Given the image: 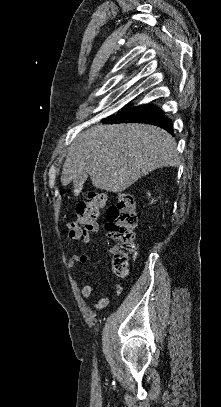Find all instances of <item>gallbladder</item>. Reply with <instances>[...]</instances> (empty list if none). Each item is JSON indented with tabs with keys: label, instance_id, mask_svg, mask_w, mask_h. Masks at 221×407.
Wrapping results in <instances>:
<instances>
[{
	"label": "gallbladder",
	"instance_id": "1",
	"mask_svg": "<svg viewBox=\"0 0 221 407\" xmlns=\"http://www.w3.org/2000/svg\"><path fill=\"white\" fill-rule=\"evenodd\" d=\"M87 178H88V174H87V173H83V174L78 175V176L73 180L74 187H75L76 189H79L80 187H82V185H83L84 182L87 180Z\"/></svg>",
	"mask_w": 221,
	"mask_h": 407
}]
</instances>
